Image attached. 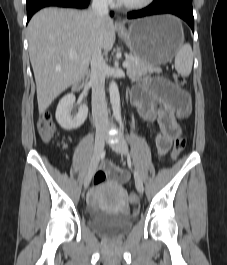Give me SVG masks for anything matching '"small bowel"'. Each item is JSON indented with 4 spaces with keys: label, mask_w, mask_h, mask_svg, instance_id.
I'll return each instance as SVG.
<instances>
[{
    "label": "small bowel",
    "mask_w": 227,
    "mask_h": 265,
    "mask_svg": "<svg viewBox=\"0 0 227 265\" xmlns=\"http://www.w3.org/2000/svg\"><path fill=\"white\" fill-rule=\"evenodd\" d=\"M132 101L141 119L158 124L155 144L158 155L164 156L172 141L181 134L177 117H187L191 113L189 95L166 78L156 77L136 86ZM104 169L114 184L125 183L130 178L127 171L110 164H106ZM91 202L95 203L94 196L91 197Z\"/></svg>",
    "instance_id": "1"
}]
</instances>
